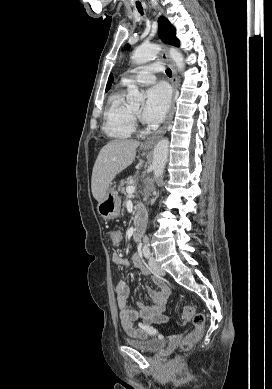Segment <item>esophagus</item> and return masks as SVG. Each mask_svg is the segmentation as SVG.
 Returning a JSON list of instances; mask_svg holds the SVG:
<instances>
[{"label": "esophagus", "mask_w": 272, "mask_h": 389, "mask_svg": "<svg viewBox=\"0 0 272 389\" xmlns=\"http://www.w3.org/2000/svg\"><path fill=\"white\" fill-rule=\"evenodd\" d=\"M162 58L169 64L171 71H172V78H171V85L173 88L172 104H171V109H170V112H169V115L167 117L165 124L155 134H153L152 136H150L146 139V141L142 145L144 148H152L156 144V142L159 140V138L162 137L166 133L167 128H168V126L173 118V114H174V102H175V97H176V93H177V74H176L175 65L172 62V60L170 59L166 47H164V49L162 51Z\"/></svg>", "instance_id": "obj_1"}]
</instances>
